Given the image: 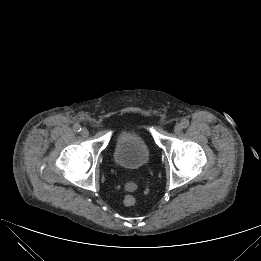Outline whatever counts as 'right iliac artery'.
<instances>
[{"label":"right iliac artery","mask_w":261,"mask_h":261,"mask_svg":"<svg viewBox=\"0 0 261 261\" xmlns=\"http://www.w3.org/2000/svg\"><path fill=\"white\" fill-rule=\"evenodd\" d=\"M74 131L80 132L81 131V126L79 124H75L73 127Z\"/></svg>","instance_id":"1"}]
</instances>
